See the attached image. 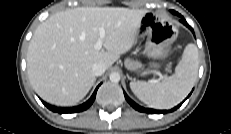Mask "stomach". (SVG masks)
I'll return each instance as SVG.
<instances>
[{"instance_id": "obj_1", "label": "stomach", "mask_w": 231, "mask_h": 134, "mask_svg": "<svg viewBox=\"0 0 231 134\" xmlns=\"http://www.w3.org/2000/svg\"><path fill=\"white\" fill-rule=\"evenodd\" d=\"M138 36L146 38L143 53L152 59H165L169 54L170 45L178 36L177 27L154 12H147L140 20ZM151 67L159 68L157 63Z\"/></svg>"}]
</instances>
